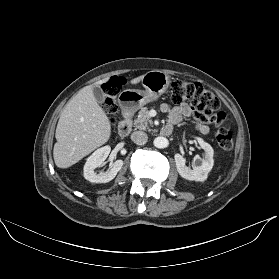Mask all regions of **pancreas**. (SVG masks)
Masks as SVG:
<instances>
[{
	"label": "pancreas",
	"instance_id": "pancreas-1",
	"mask_svg": "<svg viewBox=\"0 0 279 279\" xmlns=\"http://www.w3.org/2000/svg\"><path fill=\"white\" fill-rule=\"evenodd\" d=\"M133 124L136 129L151 130L148 125L152 124V120L149 117V111L146 107L141 108Z\"/></svg>",
	"mask_w": 279,
	"mask_h": 279
}]
</instances>
